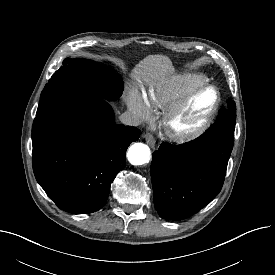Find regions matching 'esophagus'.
<instances>
[{"label": "esophagus", "instance_id": "34e87169", "mask_svg": "<svg viewBox=\"0 0 275 275\" xmlns=\"http://www.w3.org/2000/svg\"><path fill=\"white\" fill-rule=\"evenodd\" d=\"M144 138L148 145H150L151 147L155 146V138L152 134L147 133V134H145Z\"/></svg>", "mask_w": 275, "mask_h": 275}]
</instances>
